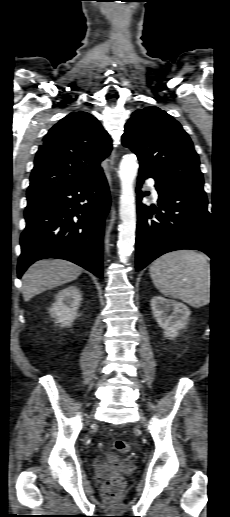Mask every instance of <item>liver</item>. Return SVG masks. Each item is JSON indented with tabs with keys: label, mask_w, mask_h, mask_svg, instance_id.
<instances>
[{
	"label": "liver",
	"mask_w": 230,
	"mask_h": 517,
	"mask_svg": "<svg viewBox=\"0 0 230 517\" xmlns=\"http://www.w3.org/2000/svg\"><path fill=\"white\" fill-rule=\"evenodd\" d=\"M82 268L63 259H43L35 262L22 276L24 301L80 276Z\"/></svg>",
	"instance_id": "liver-1"
}]
</instances>
